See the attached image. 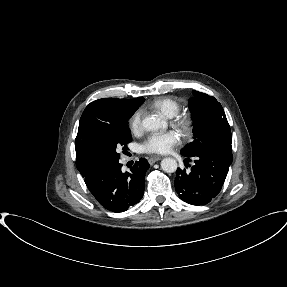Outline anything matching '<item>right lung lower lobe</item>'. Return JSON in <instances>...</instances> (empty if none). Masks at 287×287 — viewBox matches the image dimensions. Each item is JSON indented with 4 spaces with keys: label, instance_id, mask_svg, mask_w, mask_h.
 Masks as SVG:
<instances>
[{
    "label": "right lung lower lobe",
    "instance_id": "1",
    "mask_svg": "<svg viewBox=\"0 0 287 287\" xmlns=\"http://www.w3.org/2000/svg\"><path fill=\"white\" fill-rule=\"evenodd\" d=\"M119 160L101 163L84 178L89 191L107 210L123 212L137 204L144 194L146 159L136 161L130 172H122Z\"/></svg>",
    "mask_w": 287,
    "mask_h": 287
}]
</instances>
